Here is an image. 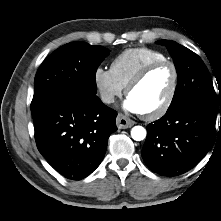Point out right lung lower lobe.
I'll list each match as a JSON object with an SVG mask.
<instances>
[{
  "instance_id": "98d812e1",
  "label": "right lung lower lobe",
  "mask_w": 221,
  "mask_h": 221,
  "mask_svg": "<svg viewBox=\"0 0 221 221\" xmlns=\"http://www.w3.org/2000/svg\"><path fill=\"white\" fill-rule=\"evenodd\" d=\"M116 116L97 96L58 95L33 115L37 148L63 177L81 180L102 162Z\"/></svg>"
}]
</instances>
